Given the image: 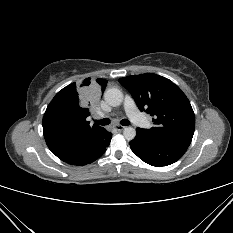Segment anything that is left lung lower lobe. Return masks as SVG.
<instances>
[{"label": "left lung lower lobe", "mask_w": 233, "mask_h": 233, "mask_svg": "<svg viewBox=\"0 0 233 233\" xmlns=\"http://www.w3.org/2000/svg\"><path fill=\"white\" fill-rule=\"evenodd\" d=\"M136 137L129 142L131 150L141 160L152 166H167L179 160L187 148L160 143L136 129Z\"/></svg>", "instance_id": "1"}]
</instances>
